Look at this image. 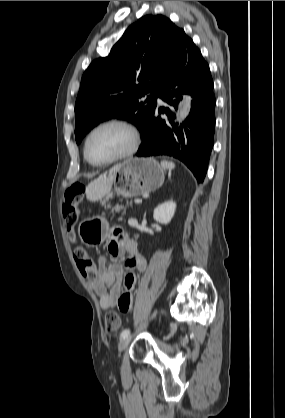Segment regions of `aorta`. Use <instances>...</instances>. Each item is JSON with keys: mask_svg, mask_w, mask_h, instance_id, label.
Listing matches in <instances>:
<instances>
[{"mask_svg": "<svg viewBox=\"0 0 285 418\" xmlns=\"http://www.w3.org/2000/svg\"><path fill=\"white\" fill-rule=\"evenodd\" d=\"M189 112H190V98L186 97L183 105L179 109V117L181 119H185L188 116Z\"/></svg>", "mask_w": 285, "mask_h": 418, "instance_id": "1", "label": "aorta"}]
</instances>
